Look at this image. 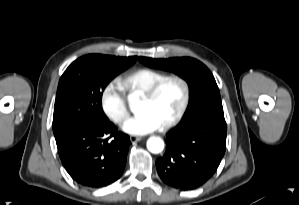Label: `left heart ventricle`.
Masks as SVG:
<instances>
[{
    "mask_svg": "<svg viewBox=\"0 0 299 205\" xmlns=\"http://www.w3.org/2000/svg\"><path fill=\"white\" fill-rule=\"evenodd\" d=\"M183 97V90L179 83L169 82L151 101L140 99L137 112H147L155 117L162 125L171 119L178 111Z\"/></svg>",
    "mask_w": 299,
    "mask_h": 205,
    "instance_id": "b2bd125f",
    "label": "left heart ventricle"
}]
</instances>
